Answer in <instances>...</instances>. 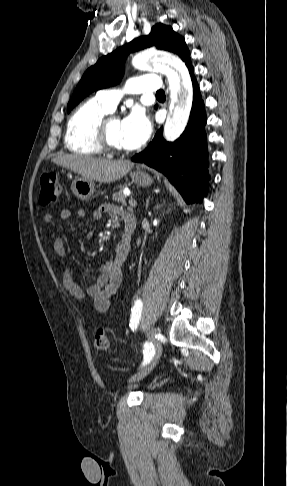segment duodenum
<instances>
[{
	"label": "duodenum",
	"mask_w": 287,
	"mask_h": 486,
	"mask_svg": "<svg viewBox=\"0 0 287 486\" xmlns=\"http://www.w3.org/2000/svg\"><path fill=\"white\" fill-rule=\"evenodd\" d=\"M136 228L135 216L128 214L124 218V233L122 235L123 243H128Z\"/></svg>",
	"instance_id": "duodenum-1"
}]
</instances>
